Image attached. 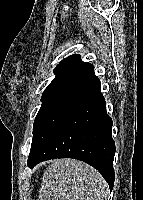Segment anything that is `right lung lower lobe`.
Masks as SVG:
<instances>
[{
	"instance_id": "98d812e1",
	"label": "right lung lower lobe",
	"mask_w": 143,
	"mask_h": 200,
	"mask_svg": "<svg viewBox=\"0 0 143 200\" xmlns=\"http://www.w3.org/2000/svg\"><path fill=\"white\" fill-rule=\"evenodd\" d=\"M112 119L93 65L62 80L43 102L33 125L28 166L75 158L96 168L114 186Z\"/></svg>"
}]
</instances>
